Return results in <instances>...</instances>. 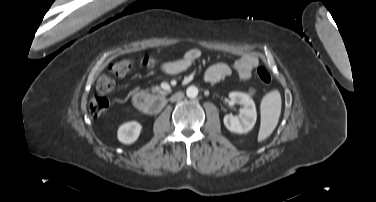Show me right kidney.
<instances>
[{
	"mask_svg": "<svg viewBox=\"0 0 376 202\" xmlns=\"http://www.w3.org/2000/svg\"><path fill=\"white\" fill-rule=\"evenodd\" d=\"M141 129V124L136 121L124 123L118 128V139L124 144L134 143L138 139Z\"/></svg>",
	"mask_w": 376,
	"mask_h": 202,
	"instance_id": "ca27d5eb",
	"label": "right kidney"
}]
</instances>
